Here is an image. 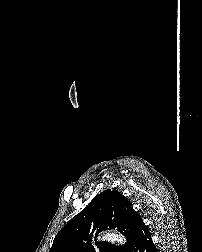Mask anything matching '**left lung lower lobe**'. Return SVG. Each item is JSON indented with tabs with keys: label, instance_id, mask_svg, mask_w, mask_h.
Listing matches in <instances>:
<instances>
[{
	"label": "left lung lower lobe",
	"instance_id": "1",
	"mask_svg": "<svg viewBox=\"0 0 202 252\" xmlns=\"http://www.w3.org/2000/svg\"><path fill=\"white\" fill-rule=\"evenodd\" d=\"M131 252H157L150 232L142 220L136 226L134 247Z\"/></svg>",
	"mask_w": 202,
	"mask_h": 252
}]
</instances>
